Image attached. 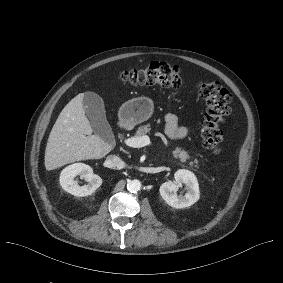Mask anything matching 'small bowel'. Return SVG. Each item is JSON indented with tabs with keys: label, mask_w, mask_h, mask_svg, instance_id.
Wrapping results in <instances>:
<instances>
[{
	"label": "small bowel",
	"mask_w": 283,
	"mask_h": 283,
	"mask_svg": "<svg viewBox=\"0 0 283 283\" xmlns=\"http://www.w3.org/2000/svg\"><path fill=\"white\" fill-rule=\"evenodd\" d=\"M165 133L173 140H179L185 138L190 129L188 127L178 125V117L173 113H168L165 115Z\"/></svg>",
	"instance_id": "1"
}]
</instances>
